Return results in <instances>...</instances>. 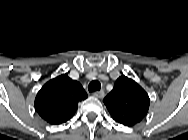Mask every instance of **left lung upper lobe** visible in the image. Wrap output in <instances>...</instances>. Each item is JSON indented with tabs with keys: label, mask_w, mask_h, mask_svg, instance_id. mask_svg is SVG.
<instances>
[{
	"label": "left lung upper lobe",
	"mask_w": 188,
	"mask_h": 140,
	"mask_svg": "<svg viewBox=\"0 0 188 140\" xmlns=\"http://www.w3.org/2000/svg\"><path fill=\"white\" fill-rule=\"evenodd\" d=\"M103 102L116 122L133 126L146 116L150 99L145 90L134 80L121 76Z\"/></svg>",
	"instance_id": "1"
}]
</instances>
